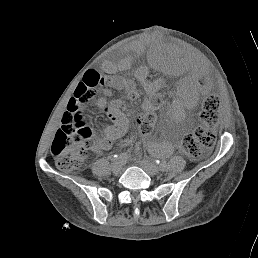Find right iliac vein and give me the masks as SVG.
I'll list each match as a JSON object with an SVG mask.
<instances>
[{"instance_id":"right-iliac-vein-1","label":"right iliac vein","mask_w":258,"mask_h":258,"mask_svg":"<svg viewBox=\"0 0 258 258\" xmlns=\"http://www.w3.org/2000/svg\"><path fill=\"white\" fill-rule=\"evenodd\" d=\"M123 169V161H121V160H118V161H116L115 163H113V165H112V171L114 172V173H119V172H121V170Z\"/></svg>"}]
</instances>
